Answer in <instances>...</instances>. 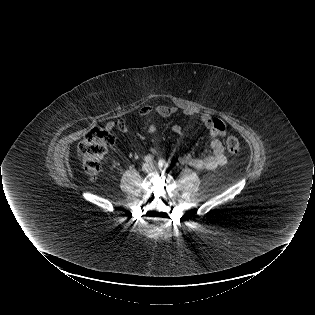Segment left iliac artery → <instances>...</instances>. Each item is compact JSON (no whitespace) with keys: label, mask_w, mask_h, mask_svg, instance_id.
<instances>
[{"label":"left iliac artery","mask_w":315,"mask_h":315,"mask_svg":"<svg viewBox=\"0 0 315 315\" xmlns=\"http://www.w3.org/2000/svg\"><path fill=\"white\" fill-rule=\"evenodd\" d=\"M158 166L160 168H162L164 166L167 167L166 161L164 159H160L159 162H158Z\"/></svg>","instance_id":"1"}]
</instances>
